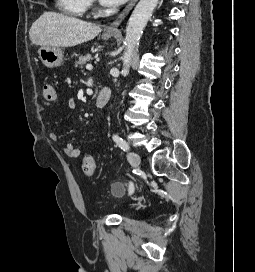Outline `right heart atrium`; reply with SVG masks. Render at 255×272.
Instances as JSON below:
<instances>
[{"label": "right heart atrium", "mask_w": 255, "mask_h": 272, "mask_svg": "<svg viewBox=\"0 0 255 272\" xmlns=\"http://www.w3.org/2000/svg\"><path fill=\"white\" fill-rule=\"evenodd\" d=\"M87 2H88V6L91 4V0H87Z\"/></svg>", "instance_id": "d8ad5b80"}]
</instances>
